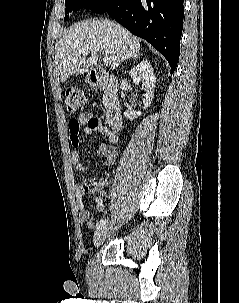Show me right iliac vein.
Here are the masks:
<instances>
[{
    "label": "right iliac vein",
    "mask_w": 239,
    "mask_h": 303,
    "mask_svg": "<svg viewBox=\"0 0 239 303\" xmlns=\"http://www.w3.org/2000/svg\"><path fill=\"white\" fill-rule=\"evenodd\" d=\"M108 228H101L97 230L93 236V244L95 247H99L107 238Z\"/></svg>",
    "instance_id": "1"
}]
</instances>
